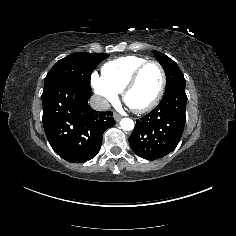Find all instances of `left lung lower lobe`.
Segmentation results:
<instances>
[{
    "instance_id": "left-lung-lower-lobe-1",
    "label": "left lung lower lobe",
    "mask_w": 236,
    "mask_h": 236,
    "mask_svg": "<svg viewBox=\"0 0 236 236\" xmlns=\"http://www.w3.org/2000/svg\"><path fill=\"white\" fill-rule=\"evenodd\" d=\"M185 88L165 92L159 105L136 120L129 144L136 155L155 160L172 152L178 145L186 122Z\"/></svg>"
}]
</instances>
